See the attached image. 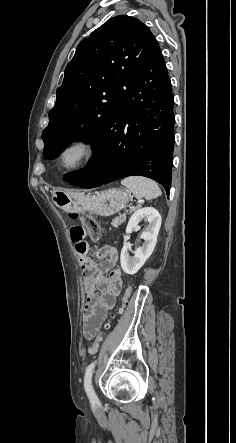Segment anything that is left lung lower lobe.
<instances>
[{"mask_svg":"<svg viewBox=\"0 0 236 443\" xmlns=\"http://www.w3.org/2000/svg\"><path fill=\"white\" fill-rule=\"evenodd\" d=\"M174 97L157 44L120 104L94 138L89 165L64 179L82 188L132 175L171 187L174 148Z\"/></svg>","mask_w":236,"mask_h":443,"instance_id":"0a47b994","label":"left lung lower lobe"}]
</instances>
